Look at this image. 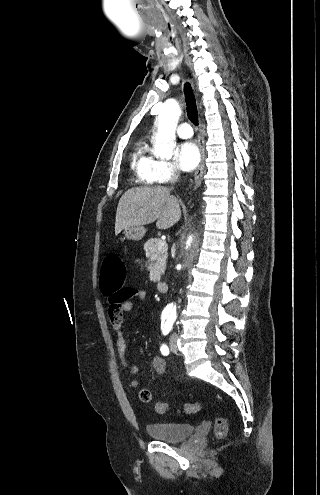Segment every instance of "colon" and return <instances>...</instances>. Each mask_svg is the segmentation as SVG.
<instances>
[{"mask_svg":"<svg viewBox=\"0 0 320 495\" xmlns=\"http://www.w3.org/2000/svg\"><path fill=\"white\" fill-rule=\"evenodd\" d=\"M126 277L125 266L122 259L117 254H109L105 257L101 270L99 284L102 292L108 294L117 293L119 303L123 302L127 297L126 293L121 291ZM140 400L150 402L152 400V392L149 389H142L139 393ZM200 405L197 402H187L183 405L182 410L186 414H195L199 411ZM156 412L160 414L167 413L169 404L163 401L155 404ZM228 431V421L225 417H219L215 421L214 435L217 439L226 437Z\"/></svg>","mask_w":320,"mask_h":495,"instance_id":"colon-1","label":"colon"}]
</instances>
